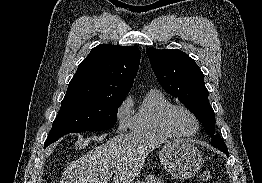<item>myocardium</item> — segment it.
<instances>
[{"instance_id":"1","label":"myocardium","mask_w":262,"mask_h":183,"mask_svg":"<svg viewBox=\"0 0 262 183\" xmlns=\"http://www.w3.org/2000/svg\"><path fill=\"white\" fill-rule=\"evenodd\" d=\"M178 109H181V110L188 112L193 117V119L195 120L196 128L192 133H182L179 130H177L176 127L173 125L172 115ZM162 121H163V125H164L165 129L169 133L174 135L175 137L190 138V137L195 136L199 132V129H200V120H199L197 114L191 108H189L188 106L183 105V104H172L170 107H168L163 114Z\"/></svg>"}]
</instances>
